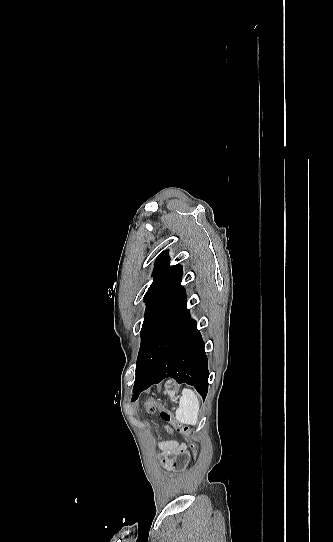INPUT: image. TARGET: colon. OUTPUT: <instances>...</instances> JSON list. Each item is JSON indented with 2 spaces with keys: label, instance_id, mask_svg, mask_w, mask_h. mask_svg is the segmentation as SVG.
I'll list each match as a JSON object with an SVG mask.
<instances>
[{
  "label": "colon",
  "instance_id": "1",
  "mask_svg": "<svg viewBox=\"0 0 333 542\" xmlns=\"http://www.w3.org/2000/svg\"><path fill=\"white\" fill-rule=\"evenodd\" d=\"M146 408L150 411H153L154 408H155V402L150 399L147 403H146ZM161 419L166 422V423H171V426H170V431L172 432H176V433H180V434H183L187 437V439L191 440V446L194 448L196 443L195 441H193V435H192V432L186 428L185 426H183L182 424L180 423H172L173 422V417H172V414L167 411V410H162L161 411ZM183 452L182 451H177L176 454L168 459L167 457L163 459V465L166 467V468H174V469H177L179 468L180 464H181V458L183 457Z\"/></svg>",
  "mask_w": 333,
  "mask_h": 542
}]
</instances>
